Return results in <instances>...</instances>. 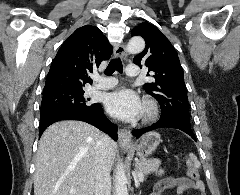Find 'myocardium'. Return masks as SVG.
Returning a JSON list of instances; mask_svg holds the SVG:
<instances>
[{"instance_id":"obj_1","label":"myocardium","mask_w":240,"mask_h":195,"mask_svg":"<svg viewBox=\"0 0 240 195\" xmlns=\"http://www.w3.org/2000/svg\"><path fill=\"white\" fill-rule=\"evenodd\" d=\"M159 113V108L157 102L150 98L145 97L142 103L140 125H146L153 122Z\"/></svg>"}]
</instances>
